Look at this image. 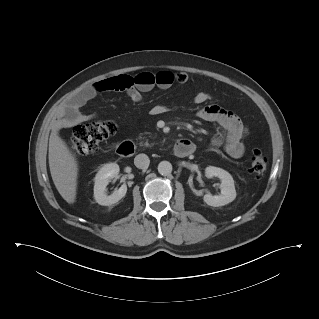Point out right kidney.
<instances>
[{"mask_svg":"<svg viewBox=\"0 0 319 319\" xmlns=\"http://www.w3.org/2000/svg\"><path fill=\"white\" fill-rule=\"evenodd\" d=\"M120 171L119 165L116 163L105 164L95 176L94 184V198L96 202L103 206H110L117 203L122 199L127 192V185L123 184L118 190H115L113 194L107 196L106 186L111 179L118 176Z\"/></svg>","mask_w":319,"mask_h":319,"instance_id":"1","label":"right kidney"}]
</instances>
